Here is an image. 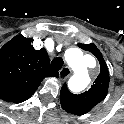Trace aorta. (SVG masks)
I'll return each instance as SVG.
<instances>
[{
	"instance_id": "obj_1",
	"label": "aorta",
	"mask_w": 124,
	"mask_h": 124,
	"mask_svg": "<svg viewBox=\"0 0 124 124\" xmlns=\"http://www.w3.org/2000/svg\"><path fill=\"white\" fill-rule=\"evenodd\" d=\"M64 58L74 71L68 82L70 89L74 92L84 90L91 80L86 66V57L80 49L69 48L66 50Z\"/></svg>"
}]
</instances>
